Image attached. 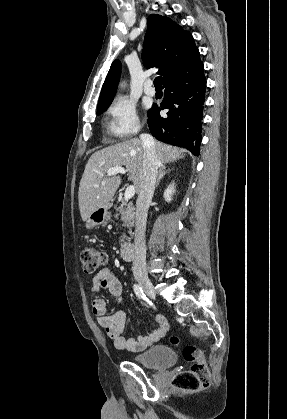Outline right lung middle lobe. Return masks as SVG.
<instances>
[{
    "label": "right lung middle lobe",
    "instance_id": "dd1d6c3e",
    "mask_svg": "<svg viewBox=\"0 0 287 419\" xmlns=\"http://www.w3.org/2000/svg\"><path fill=\"white\" fill-rule=\"evenodd\" d=\"M109 105L97 108V115L102 114L104 111H106V109L108 108Z\"/></svg>",
    "mask_w": 287,
    "mask_h": 419
}]
</instances>
